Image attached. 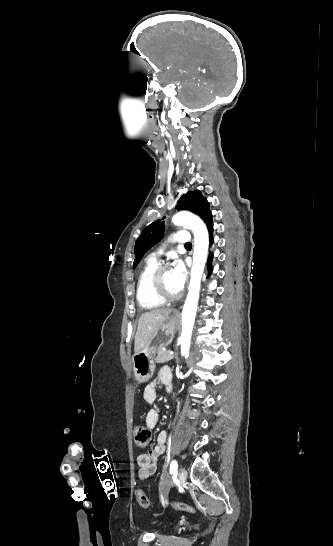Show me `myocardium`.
I'll use <instances>...</instances> for the list:
<instances>
[{"mask_svg":"<svg viewBox=\"0 0 333 546\" xmlns=\"http://www.w3.org/2000/svg\"><path fill=\"white\" fill-rule=\"evenodd\" d=\"M169 270L166 265L160 266L154 272L151 279V289L154 296L164 302H172L181 298L182 293L179 292L176 295H170L166 292L163 286V275Z\"/></svg>","mask_w":333,"mask_h":546,"instance_id":"obj_1","label":"myocardium"}]
</instances>
